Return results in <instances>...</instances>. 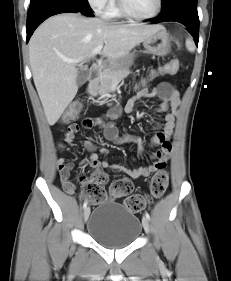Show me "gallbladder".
Masks as SVG:
<instances>
[{
    "mask_svg": "<svg viewBox=\"0 0 231 281\" xmlns=\"http://www.w3.org/2000/svg\"><path fill=\"white\" fill-rule=\"evenodd\" d=\"M89 78V72L87 70L81 69L78 72L76 83L78 86L83 85Z\"/></svg>",
    "mask_w": 231,
    "mask_h": 281,
    "instance_id": "1",
    "label": "gallbladder"
}]
</instances>
